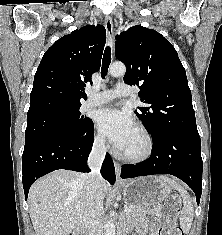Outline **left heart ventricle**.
I'll return each instance as SVG.
<instances>
[{"mask_svg":"<svg viewBox=\"0 0 222 235\" xmlns=\"http://www.w3.org/2000/svg\"><path fill=\"white\" fill-rule=\"evenodd\" d=\"M146 148V142L143 136L138 132L135 128L133 131L127 145L122 150L123 153L126 154H140L142 153Z\"/></svg>","mask_w":222,"mask_h":235,"instance_id":"1","label":"left heart ventricle"}]
</instances>
